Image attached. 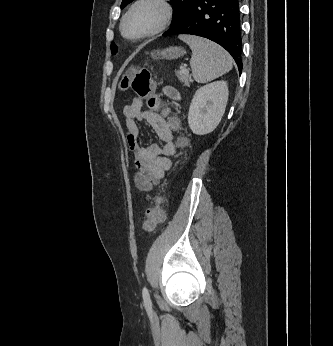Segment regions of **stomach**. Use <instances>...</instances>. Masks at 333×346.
Here are the masks:
<instances>
[{"label":"stomach","instance_id":"1","mask_svg":"<svg viewBox=\"0 0 333 346\" xmlns=\"http://www.w3.org/2000/svg\"><path fill=\"white\" fill-rule=\"evenodd\" d=\"M184 53H185L184 49L180 47H169L165 50L157 51L156 53L154 52L151 54V56L153 58H157L161 56L162 58H166V59H177L181 57Z\"/></svg>","mask_w":333,"mask_h":346}]
</instances>
